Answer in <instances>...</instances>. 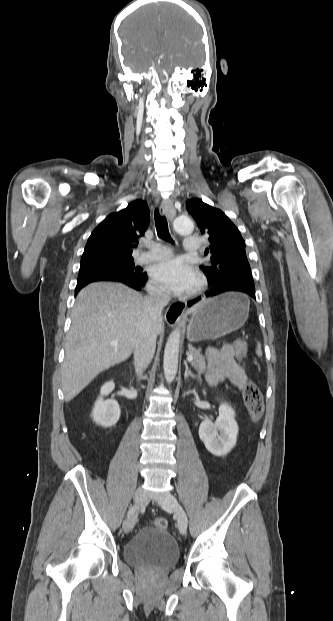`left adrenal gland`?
<instances>
[{"label": "left adrenal gland", "instance_id": "obj_1", "mask_svg": "<svg viewBox=\"0 0 333 621\" xmlns=\"http://www.w3.org/2000/svg\"><path fill=\"white\" fill-rule=\"evenodd\" d=\"M184 365H185V373H184V378L185 380L188 379V377L191 378H200V376H198L197 374H194L191 369H189L187 361H184Z\"/></svg>", "mask_w": 333, "mask_h": 621}]
</instances>
